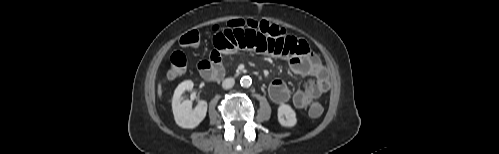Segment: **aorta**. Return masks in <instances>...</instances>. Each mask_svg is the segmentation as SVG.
Segmentation results:
<instances>
[{
	"label": "aorta",
	"mask_w": 499,
	"mask_h": 154,
	"mask_svg": "<svg viewBox=\"0 0 499 154\" xmlns=\"http://www.w3.org/2000/svg\"><path fill=\"white\" fill-rule=\"evenodd\" d=\"M242 87H249L252 84V79L249 76H243L240 80Z\"/></svg>",
	"instance_id": "762f6f07"
}]
</instances>
